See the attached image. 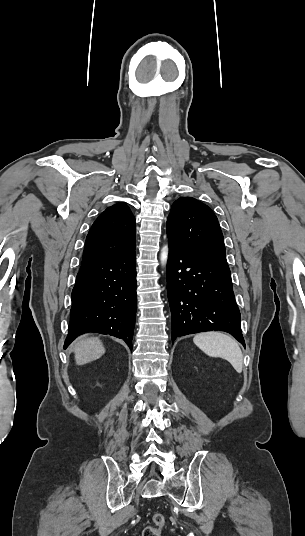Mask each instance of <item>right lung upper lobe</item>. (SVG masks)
<instances>
[{"mask_svg":"<svg viewBox=\"0 0 305 536\" xmlns=\"http://www.w3.org/2000/svg\"><path fill=\"white\" fill-rule=\"evenodd\" d=\"M135 218L125 203L108 207L93 223L81 264L108 259L135 249Z\"/></svg>","mask_w":305,"mask_h":536,"instance_id":"obj_1","label":"right lung upper lobe"}]
</instances>
